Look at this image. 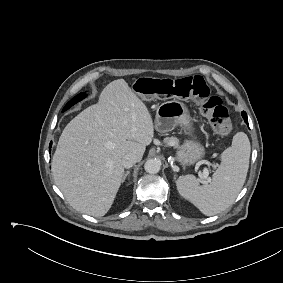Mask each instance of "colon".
<instances>
[{
    "label": "colon",
    "instance_id": "1",
    "mask_svg": "<svg viewBox=\"0 0 283 283\" xmlns=\"http://www.w3.org/2000/svg\"><path fill=\"white\" fill-rule=\"evenodd\" d=\"M134 91L144 100L170 97L193 99L200 105L201 112L209 119L217 134L227 135L231 131L229 111L221 98L212 94L210 86L200 76L178 80L140 78L134 84Z\"/></svg>",
    "mask_w": 283,
    "mask_h": 283
}]
</instances>
